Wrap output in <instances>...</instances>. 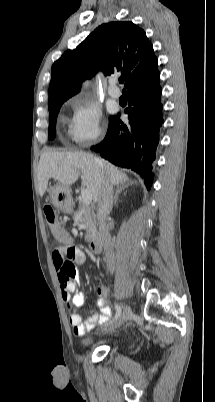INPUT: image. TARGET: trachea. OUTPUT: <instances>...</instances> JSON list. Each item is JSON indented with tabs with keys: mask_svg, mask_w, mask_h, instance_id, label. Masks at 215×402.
<instances>
[{
	"mask_svg": "<svg viewBox=\"0 0 215 402\" xmlns=\"http://www.w3.org/2000/svg\"><path fill=\"white\" fill-rule=\"evenodd\" d=\"M119 82L122 84V83L124 82V78H123V77H120V78H119Z\"/></svg>",
	"mask_w": 215,
	"mask_h": 402,
	"instance_id": "1",
	"label": "trachea"
}]
</instances>
